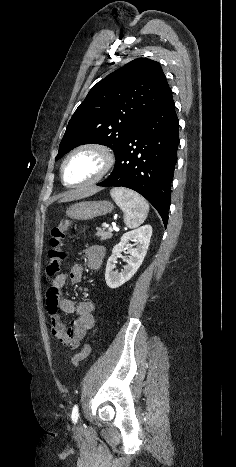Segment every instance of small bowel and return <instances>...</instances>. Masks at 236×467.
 Listing matches in <instances>:
<instances>
[{"mask_svg": "<svg viewBox=\"0 0 236 467\" xmlns=\"http://www.w3.org/2000/svg\"><path fill=\"white\" fill-rule=\"evenodd\" d=\"M87 266L90 270H98L102 265L105 250L101 246H92L84 251ZM84 268L74 264L67 272L57 275L46 291V308L50 317V331L64 346L70 349L79 347L87 331L95 324L94 304L91 301L74 302L63 297L62 288L69 280L79 283L83 279ZM60 311L76 314L77 318L70 327H66L60 318Z\"/></svg>", "mask_w": 236, "mask_h": 467, "instance_id": "obj_1", "label": "small bowel"}]
</instances>
